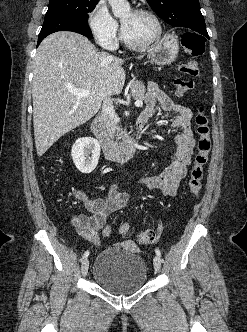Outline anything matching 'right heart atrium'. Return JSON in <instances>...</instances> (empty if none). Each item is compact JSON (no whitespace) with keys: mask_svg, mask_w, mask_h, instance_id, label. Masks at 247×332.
Masks as SVG:
<instances>
[{"mask_svg":"<svg viewBox=\"0 0 247 332\" xmlns=\"http://www.w3.org/2000/svg\"><path fill=\"white\" fill-rule=\"evenodd\" d=\"M88 24L96 42L104 48L116 44L119 26L107 6L99 2L89 15Z\"/></svg>","mask_w":247,"mask_h":332,"instance_id":"1","label":"right heart atrium"}]
</instances>
